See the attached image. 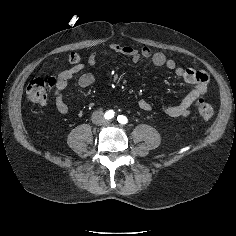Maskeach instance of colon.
<instances>
[{
  "label": "colon",
  "mask_w": 236,
  "mask_h": 236,
  "mask_svg": "<svg viewBox=\"0 0 236 236\" xmlns=\"http://www.w3.org/2000/svg\"><path fill=\"white\" fill-rule=\"evenodd\" d=\"M71 63H77L79 58L77 55L72 54L69 57ZM56 84L55 78L51 77L48 79L35 78L33 79L26 88V94L28 102L33 106L44 105L48 98L49 90ZM196 107L199 115L205 121L212 119L214 115L213 107L207 103L204 99L200 98L196 102Z\"/></svg>",
  "instance_id": "5ec220e1"
}]
</instances>
